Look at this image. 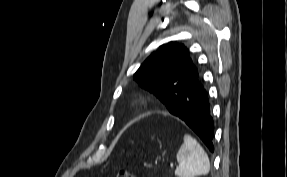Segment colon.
<instances>
[{
  "mask_svg": "<svg viewBox=\"0 0 287 177\" xmlns=\"http://www.w3.org/2000/svg\"><path fill=\"white\" fill-rule=\"evenodd\" d=\"M117 177H135V175L126 169H121L118 171Z\"/></svg>",
  "mask_w": 287,
  "mask_h": 177,
  "instance_id": "1",
  "label": "colon"
}]
</instances>
